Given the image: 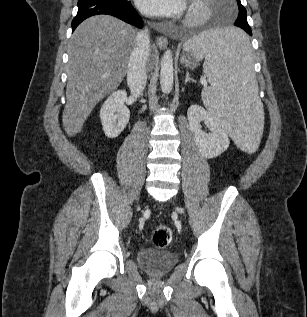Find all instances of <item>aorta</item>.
I'll return each mask as SVG.
<instances>
[{"label":"aorta","mask_w":307,"mask_h":317,"mask_svg":"<svg viewBox=\"0 0 307 317\" xmlns=\"http://www.w3.org/2000/svg\"><path fill=\"white\" fill-rule=\"evenodd\" d=\"M174 81L173 54L170 49L164 52L161 60L160 84L162 92L168 94L172 91Z\"/></svg>","instance_id":"1"}]
</instances>
